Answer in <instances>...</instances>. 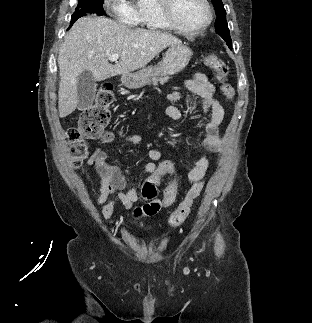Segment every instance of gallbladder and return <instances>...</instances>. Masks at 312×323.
Here are the masks:
<instances>
[{
  "label": "gallbladder",
  "instance_id": "bac80fb5",
  "mask_svg": "<svg viewBox=\"0 0 312 323\" xmlns=\"http://www.w3.org/2000/svg\"><path fill=\"white\" fill-rule=\"evenodd\" d=\"M96 82L92 76V72H83L78 76L77 82V98L78 110H84L88 106H92L96 94Z\"/></svg>",
  "mask_w": 312,
  "mask_h": 323
}]
</instances>
